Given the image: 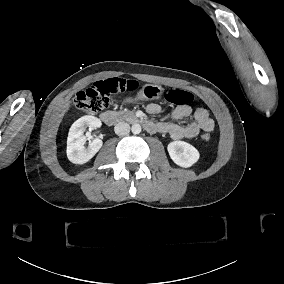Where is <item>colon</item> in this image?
Segmentation results:
<instances>
[{
	"label": "colon",
	"instance_id": "5ec220e1",
	"mask_svg": "<svg viewBox=\"0 0 284 284\" xmlns=\"http://www.w3.org/2000/svg\"><path fill=\"white\" fill-rule=\"evenodd\" d=\"M138 84L136 80H126L119 77L108 78L91 88L78 92L74 96V101L80 111L99 112L106 107L110 95L118 92L134 91ZM164 98L169 105L178 108L188 106L192 102L193 96L188 89L172 87L165 92ZM203 139L208 140L209 134L204 133Z\"/></svg>",
	"mask_w": 284,
	"mask_h": 284
}]
</instances>
